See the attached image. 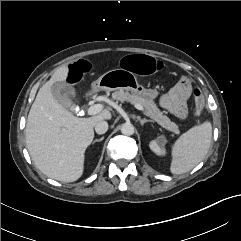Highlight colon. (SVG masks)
<instances>
[{
	"mask_svg": "<svg viewBox=\"0 0 241 241\" xmlns=\"http://www.w3.org/2000/svg\"><path fill=\"white\" fill-rule=\"evenodd\" d=\"M120 66L125 71H136L140 75L160 74L165 69V62L160 57L134 53L122 56ZM66 67L72 73L71 84H75L94 70V63L89 58H81ZM194 105L196 113L203 111L204 98L199 89L194 90Z\"/></svg>",
	"mask_w": 241,
	"mask_h": 241,
	"instance_id": "colon-1",
	"label": "colon"
}]
</instances>
